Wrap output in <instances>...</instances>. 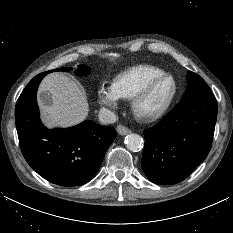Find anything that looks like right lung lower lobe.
Here are the masks:
<instances>
[{
  "instance_id": "obj_1",
  "label": "right lung lower lobe",
  "mask_w": 233,
  "mask_h": 233,
  "mask_svg": "<svg viewBox=\"0 0 233 233\" xmlns=\"http://www.w3.org/2000/svg\"><path fill=\"white\" fill-rule=\"evenodd\" d=\"M48 72L35 76L17 100L15 121L27 163L53 184L72 187L97 173L117 134L112 127L84 121L69 129H47L39 119L36 92Z\"/></svg>"
}]
</instances>
